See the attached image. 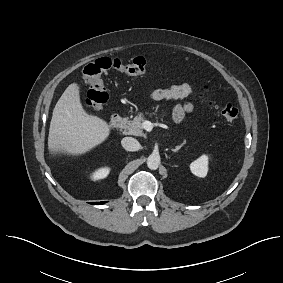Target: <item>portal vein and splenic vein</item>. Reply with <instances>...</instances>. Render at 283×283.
<instances>
[{"instance_id": "1", "label": "portal vein and splenic vein", "mask_w": 283, "mask_h": 283, "mask_svg": "<svg viewBox=\"0 0 283 283\" xmlns=\"http://www.w3.org/2000/svg\"><path fill=\"white\" fill-rule=\"evenodd\" d=\"M144 127H145V129H146L147 131H151L152 128H153V124H152L151 122H149V121H145V122H144Z\"/></svg>"}]
</instances>
